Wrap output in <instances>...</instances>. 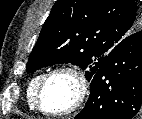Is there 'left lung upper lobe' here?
<instances>
[{
	"mask_svg": "<svg viewBox=\"0 0 142 119\" xmlns=\"http://www.w3.org/2000/svg\"><path fill=\"white\" fill-rule=\"evenodd\" d=\"M142 25L134 0H58L30 54L26 71L72 63L91 80L108 53Z\"/></svg>",
	"mask_w": 142,
	"mask_h": 119,
	"instance_id": "obj_1",
	"label": "left lung upper lobe"
}]
</instances>
